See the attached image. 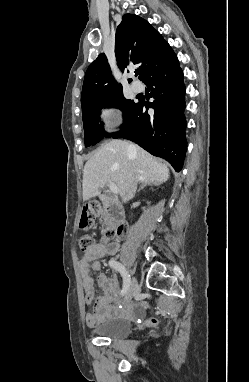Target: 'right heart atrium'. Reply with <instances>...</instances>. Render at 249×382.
<instances>
[{
    "label": "right heart atrium",
    "instance_id": "1",
    "mask_svg": "<svg viewBox=\"0 0 249 382\" xmlns=\"http://www.w3.org/2000/svg\"><path fill=\"white\" fill-rule=\"evenodd\" d=\"M118 119V112L113 107H105L100 112V120L103 125V127L107 130L112 129Z\"/></svg>",
    "mask_w": 249,
    "mask_h": 382
}]
</instances>
